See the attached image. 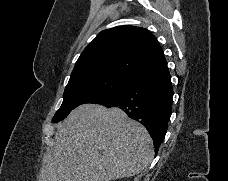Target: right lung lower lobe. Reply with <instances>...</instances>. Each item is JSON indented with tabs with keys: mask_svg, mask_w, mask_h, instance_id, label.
Instances as JSON below:
<instances>
[{
	"mask_svg": "<svg viewBox=\"0 0 228 181\" xmlns=\"http://www.w3.org/2000/svg\"><path fill=\"white\" fill-rule=\"evenodd\" d=\"M173 89L166 60L136 76L112 99L100 103L118 107L141 122L154 140L157 153L172 113Z\"/></svg>",
	"mask_w": 228,
	"mask_h": 181,
	"instance_id": "obj_1",
	"label": "right lung lower lobe"
}]
</instances>
